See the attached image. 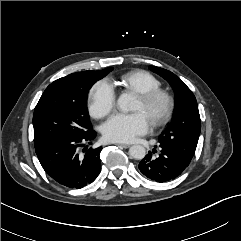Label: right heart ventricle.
I'll use <instances>...</instances> for the list:
<instances>
[{
	"label": "right heart ventricle",
	"mask_w": 241,
	"mask_h": 241,
	"mask_svg": "<svg viewBox=\"0 0 241 241\" xmlns=\"http://www.w3.org/2000/svg\"><path fill=\"white\" fill-rule=\"evenodd\" d=\"M118 84L125 91L134 94L145 93L161 87L160 80L153 74L144 70H133L123 74L119 78Z\"/></svg>",
	"instance_id": "1"
}]
</instances>
